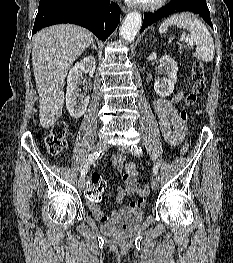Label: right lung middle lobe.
I'll list each match as a JSON object with an SVG mask.
<instances>
[{
	"label": "right lung middle lobe",
	"mask_w": 233,
	"mask_h": 263,
	"mask_svg": "<svg viewBox=\"0 0 233 263\" xmlns=\"http://www.w3.org/2000/svg\"><path fill=\"white\" fill-rule=\"evenodd\" d=\"M77 0H40L38 11L45 10L46 8L59 4V3H75Z\"/></svg>",
	"instance_id": "right-lung-middle-lobe-1"
}]
</instances>
